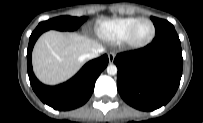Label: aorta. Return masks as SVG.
I'll return each instance as SVG.
<instances>
[{
	"mask_svg": "<svg viewBox=\"0 0 203 123\" xmlns=\"http://www.w3.org/2000/svg\"><path fill=\"white\" fill-rule=\"evenodd\" d=\"M107 73L109 75H115V74H117V67L114 64L108 65V67H107Z\"/></svg>",
	"mask_w": 203,
	"mask_h": 123,
	"instance_id": "762f6f07",
	"label": "aorta"
}]
</instances>
